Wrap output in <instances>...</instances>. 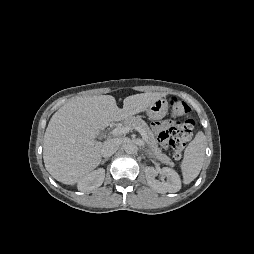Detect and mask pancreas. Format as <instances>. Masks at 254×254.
<instances>
[{"instance_id": "1", "label": "pancreas", "mask_w": 254, "mask_h": 254, "mask_svg": "<svg viewBox=\"0 0 254 254\" xmlns=\"http://www.w3.org/2000/svg\"><path fill=\"white\" fill-rule=\"evenodd\" d=\"M122 124L123 126H127L132 129L139 127L142 130H144L147 135V145L149 148L148 150L150 155H152L153 157L157 158L158 160H160L161 162L165 164H168V165L173 164L172 160L166 154L162 153L161 149L158 147V144L154 137L153 132L150 130L147 123L144 120H142L140 116H130L126 118L122 122Z\"/></svg>"}]
</instances>
